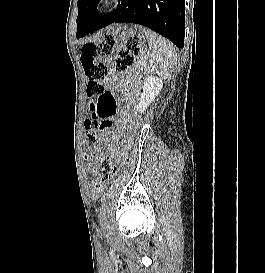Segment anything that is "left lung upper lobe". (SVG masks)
Wrapping results in <instances>:
<instances>
[{
	"mask_svg": "<svg viewBox=\"0 0 265 273\" xmlns=\"http://www.w3.org/2000/svg\"><path fill=\"white\" fill-rule=\"evenodd\" d=\"M99 1L100 0H78L77 32L83 23L84 17L97 8Z\"/></svg>",
	"mask_w": 265,
	"mask_h": 273,
	"instance_id": "obj_1",
	"label": "left lung upper lobe"
}]
</instances>
